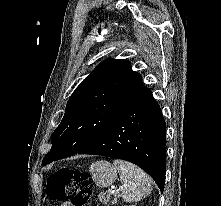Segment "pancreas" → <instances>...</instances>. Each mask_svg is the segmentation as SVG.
<instances>
[{
    "instance_id": "obj_1",
    "label": "pancreas",
    "mask_w": 221,
    "mask_h": 206,
    "mask_svg": "<svg viewBox=\"0 0 221 206\" xmlns=\"http://www.w3.org/2000/svg\"><path fill=\"white\" fill-rule=\"evenodd\" d=\"M120 197V194L118 192L113 193V197H111V194H107L106 196L104 194H101L99 196L100 202H102L105 206H109V203H116L117 199Z\"/></svg>"
}]
</instances>
